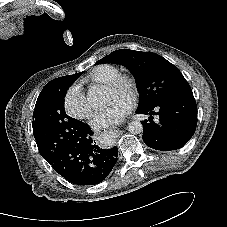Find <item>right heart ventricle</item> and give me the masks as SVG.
I'll use <instances>...</instances> for the list:
<instances>
[{
    "label": "right heart ventricle",
    "instance_id": "obj_1",
    "mask_svg": "<svg viewBox=\"0 0 227 227\" xmlns=\"http://www.w3.org/2000/svg\"><path fill=\"white\" fill-rule=\"evenodd\" d=\"M120 73V69L113 64L104 63L94 66L84 77L87 83L107 84Z\"/></svg>",
    "mask_w": 227,
    "mask_h": 227
}]
</instances>
